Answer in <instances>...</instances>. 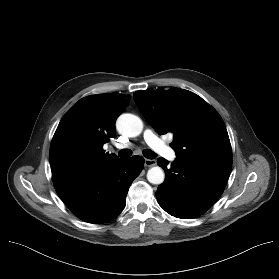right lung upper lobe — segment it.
I'll return each instance as SVG.
<instances>
[{
    "instance_id": "cb5924a9",
    "label": "right lung upper lobe",
    "mask_w": 279,
    "mask_h": 279,
    "mask_svg": "<svg viewBox=\"0 0 279 279\" xmlns=\"http://www.w3.org/2000/svg\"><path fill=\"white\" fill-rule=\"evenodd\" d=\"M124 94L82 98L61 119L50 146L53 183L59 184L106 168L119 158L105 153L103 144L114 138L115 120L128 105Z\"/></svg>"
}]
</instances>
